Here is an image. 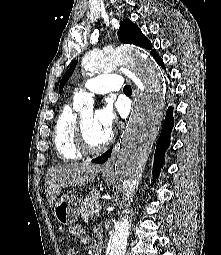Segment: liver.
Segmentation results:
<instances>
[{
  "label": "liver",
  "mask_w": 221,
  "mask_h": 255,
  "mask_svg": "<svg viewBox=\"0 0 221 255\" xmlns=\"http://www.w3.org/2000/svg\"><path fill=\"white\" fill-rule=\"evenodd\" d=\"M101 170V166L90 162L71 163L49 168L45 178V194L50 207L54 205L63 188L83 186L93 182L96 174Z\"/></svg>",
  "instance_id": "obj_1"
}]
</instances>
